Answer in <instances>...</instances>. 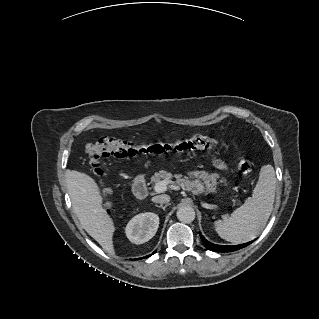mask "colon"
I'll list each match as a JSON object with an SVG mask.
<instances>
[{
	"mask_svg": "<svg viewBox=\"0 0 319 319\" xmlns=\"http://www.w3.org/2000/svg\"><path fill=\"white\" fill-rule=\"evenodd\" d=\"M217 145L218 142L215 139L204 136L149 143H134L118 138L103 137L94 143L88 144L85 152L92 173L98 178H102L104 175L101 165L103 158H125L138 154L159 155L172 151L184 153L195 150H209ZM252 170L253 164L249 160H241L238 163V171L241 174H249ZM105 194H108V191ZM106 206L110 207L109 204Z\"/></svg>",
	"mask_w": 319,
	"mask_h": 319,
	"instance_id": "colon-1",
	"label": "colon"
}]
</instances>
